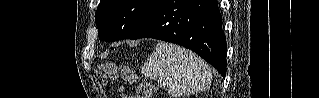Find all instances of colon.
<instances>
[{
	"label": "colon",
	"mask_w": 319,
	"mask_h": 98,
	"mask_svg": "<svg viewBox=\"0 0 319 98\" xmlns=\"http://www.w3.org/2000/svg\"><path fill=\"white\" fill-rule=\"evenodd\" d=\"M114 66L112 64H106L105 71L106 73L113 75L114 73ZM126 75L130 76V73H125ZM154 92V85L150 82H143L140 84L137 90L136 97L137 98H151Z\"/></svg>",
	"instance_id": "colon-1"
}]
</instances>
